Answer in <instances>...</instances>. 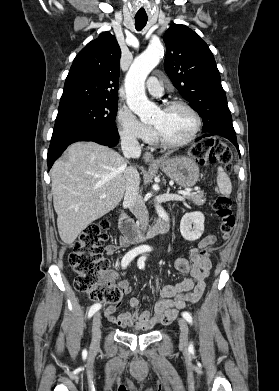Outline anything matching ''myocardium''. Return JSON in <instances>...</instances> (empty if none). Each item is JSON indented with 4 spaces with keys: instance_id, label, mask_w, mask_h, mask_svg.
<instances>
[{
    "instance_id": "1",
    "label": "myocardium",
    "mask_w": 279,
    "mask_h": 391,
    "mask_svg": "<svg viewBox=\"0 0 279 391\" xmlns=\"http://www.w3.org/2000/svg\"><path fill=\"white\" fill-rule=\"evenodd\" d=\"M173 107H183L186 110H188L192 114V116L194 117L195 126H194V129L192 130V132L190 133V135L187 138H185L184 140L170 141L164 136V134L161 132V130L158 127H156L155 125H152L156 139L158 140V142L162 146L167 147V148H178V147H182V146L189 144L192 140H194V138L196 137V135L198 134V132L200 131L201 126H202L201 116L188 102L183 101V100L167 101L162 105L161 109L166 111V110H169Z\"/></svg>"
}]
</instances>
